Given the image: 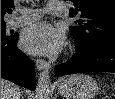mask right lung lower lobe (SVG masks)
Wrapping results in <instances>:
<instances>
[{"label": "right lung lower lobe", "instance_id": "obj_1", "mask_svg": "<svg viewBox=\"0 0 115 99\" xmlns=\"http://www.w3.org/2000/svg\"><path fill=\"white\" fill-rule=\"evenodd\" d=\"M17 41L18 34L1 39V78L34 90V63L17 48Z\"/></svg>", "mask_w": 115, "mask_h": 99}]
</instances>
